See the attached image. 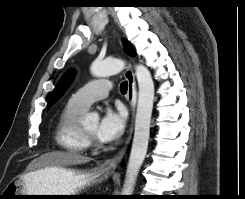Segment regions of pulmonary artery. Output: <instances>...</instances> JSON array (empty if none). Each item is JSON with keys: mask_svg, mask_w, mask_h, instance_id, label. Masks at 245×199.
Masks as SVG:
<instances>
[{"mask_svg": "<svg viewBox=\"0 0 245 199\" xmlns=\"http://www.w3.org/2000/svg\"><path fill=\"white\" fill-rule=\"evenodd\" d=\"M111 87L112 83L108 80L92 81L75 92L69 99V103L86 110L93 102L106 98Z\"/></svg>", "mask_w": 245, "mask_h": 199, "instance_id": "e3ab8cb5", "label": "pulmonary artery"}]
</instances>
